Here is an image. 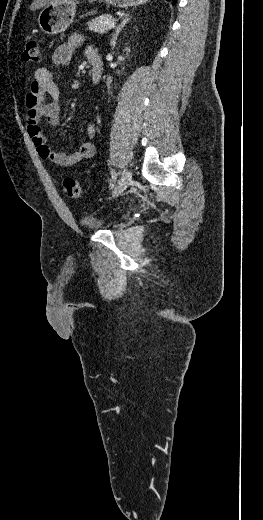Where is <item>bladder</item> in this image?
<instances>
[{"label":"bladder","mask_w":263,"mask_h":520,"mask_svg":"<svg viewBox=\"0 0 263 520\" xmlns=\"http://www.w3.org/2000/svg\"><path fill=\"white\" fill-rule=\"evenodd\" d=\"M116 223V220H107L100 217H94L86 215L82 217L81 224L88 229H98L105 227H112Z\"/></svg>","instance_id":"31cf9c89"}]
</instances>
